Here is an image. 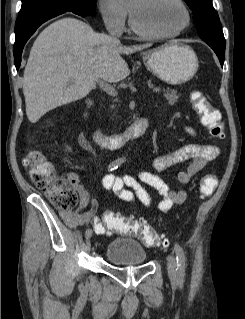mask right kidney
Here are the masks:
<instances>
[{
    "mask_svg": "<svg viewBox=\"0 0 245 319\" xmlns=\"http://www.w3.org/2000/svg\"><path fill=\"white\" fill-rule=\"evenodd\" d=\"M66 148H67V150H68L69 152L71 151V148H70L69 146H67Z\"/></svg>",
    "mask_w": 245,
    "mask_h": 319,
    "instance_id": "obj_1",
    "label": "right kidney"
}]
</instances>
